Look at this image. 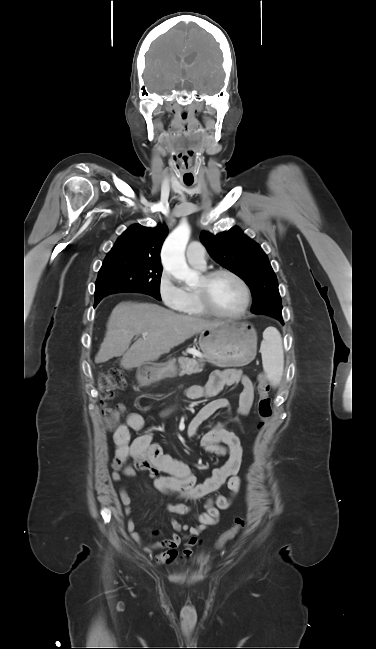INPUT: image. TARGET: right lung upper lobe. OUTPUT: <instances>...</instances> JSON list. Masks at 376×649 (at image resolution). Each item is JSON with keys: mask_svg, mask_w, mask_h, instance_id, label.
<instances>
[{"mask_svg": "<svg viewBox=\"0 0 376 649\" xmlns=\"http://www.w3.org/2000/svg\"><path fill=\"white\" fill-rule=\"evenodd\" d=\"M167 234L168 228L165 225L149 228L134 224L118 238L107 256L134 255L160 264V251Z\"/></svg>", "mask_w": 376, "mask_h": 649, "instance_id": "cb5924a9", "label": "right lung upper lobe"}]
</instances>
